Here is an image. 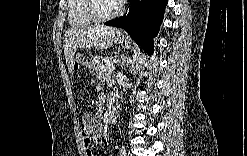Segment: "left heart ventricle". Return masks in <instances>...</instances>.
<instances>
[{
    "label": "left heart ventricle",
    "instance_id": "1",
    "mask_svg": "<svg viewBox=\"0 0 247 156\" xmlns=\"http://www.w3.org/2000/svg\"><path fill=\"white\" fill-rule=\"evenodd\" d=\"M117 3L115 1H98L96 3V12L99 15H108L114 12Z\"/></svg>",
    "mask_w": 247,
    "mask_h": 156
}]
</instances>
